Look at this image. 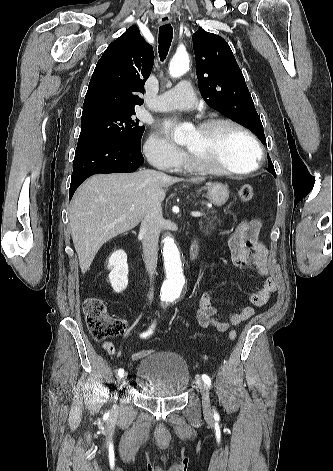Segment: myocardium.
<instances>
[{
  "label": "myocardium",
  "mask_w": 333,
  "mask_h": 471,
  "mask_svg": "<svg viewBox=\"0 0 333 471\" xmlns=\"http://www.w3.org/2000/svg\"><path fill=\"white\" fill-rule=\"evenodd\" d=\"M221 125L234 127L248 137V139L255 147L257 153L254 166L246 170H234L226 166L214 163L209 158L195 154L192 151L188 150V157L190 163L195 167L201 169L202 171L217 174L248 175L256 171L261 165V161L263 158V150L256 136L246 126L230 118H210L200 122L197 126V129L202 132H208L213 128Z\"/></svg>",
  "instance_id": "myocardium-1"
}]
</instances>
